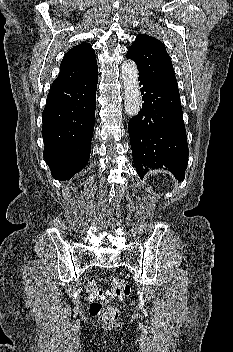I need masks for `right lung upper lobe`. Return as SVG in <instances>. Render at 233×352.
Wrapping results in <instances>:
<instances>
[{
    "mask_svg": "<svg viewBox=\"0 0 233 352\" xmlns=\"http://www.w3.org/2000/svg\"><path fill=\"white\" fill-rule=\"evenodd\" d=\"M97 68L96 56L92 46L88 43H81L65 54L60 64L59 75L52 85L80 79Z\"/></svg>",
    "mask_w": 233,
    "mask_h": 352,
    "instance_id": "cb5924a9",
    "label": "right lung upper lobe"
}]
</instances>
